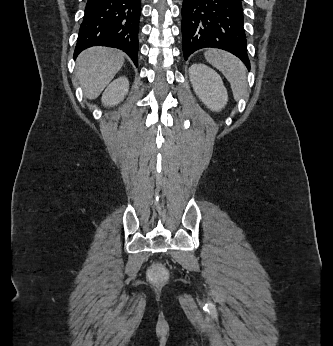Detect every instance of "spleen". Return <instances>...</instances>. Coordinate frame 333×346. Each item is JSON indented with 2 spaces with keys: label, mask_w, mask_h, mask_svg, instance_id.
<instances>
[{
  "label": "spleen",
  "mask_w": 333,
  "mask_h": 346,
  "mask_svg": "<svg viewBox=\"0 0 333 346\" xmlns=\"http://www.w3.org/2000/svg\"><path fill=\"white\" fill-rule=\"evenodd\" d=\"M205 58L227 78L235 99L245 95L247 90L246 68L238 58L228 52L216 49L207 51Z\"/></svg>",
  "instance_id": "spleen-1"
}]
</instances>
